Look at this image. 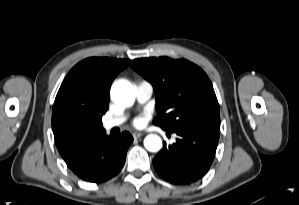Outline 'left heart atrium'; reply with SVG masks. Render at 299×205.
I'll use <instances>...</instances> for the list:
<instances>
[{"label": "left heart atrium", "instance_id": "1", "mask_svg": "<svg viewBox=\"0 0 299 205\" xmlns=\"http://www.w3.org/2000/svg\"><path fill=\"white\" fill-rule=\"evenodd\" d=\"M135 124H136V125H139V124H140V121H139V120H136V121H135Z\"/></svg>", "mask_w": 299, "mask_h": 205}]
</instances>
